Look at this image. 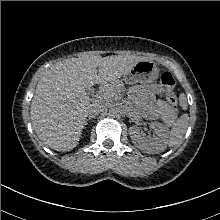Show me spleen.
<instances>
[{"mask_svg":"<svg viewBox=\"0 0 220 220\" xmlns=\"http://www.w3.org/2000/svg\"><path fill=\"white\" fill-rule=\"evenodd\" d=\"M180 103L183 109L187 107L184 96L180 97ZM189 116L187 114H183L179 119H177L172 126L168 134L167 143L169 147L177 146L181 143V140L187 130L188 127Z\"/></svg>","mask_w":220,"mask_h":220,"instance_id":"spleen-1","label":"spleen"}]
</instances>
